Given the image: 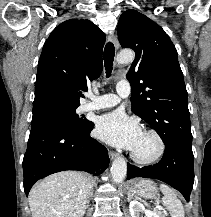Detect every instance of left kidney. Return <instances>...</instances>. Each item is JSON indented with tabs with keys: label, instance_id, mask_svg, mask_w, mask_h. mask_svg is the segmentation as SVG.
<instances>
[{
	"label": "left kidney",
	"instance_id": "obj_1",
	"mask_svg": "<svg viewBox=\"0 0 211 217\" xmlns=\"http://www.w3.org/2000/svg\"><path fill=\"white\" fill-rule=\"evenodd\" d=\"M129 210L131 217H139L141 213H145L144 217H159V215L150 210H146L143 204L138 202L137 200H133L129 204Z\"/></svg>",
	"mask_w": 211,
	"mask_h": 217
}]
</instances>
